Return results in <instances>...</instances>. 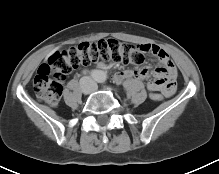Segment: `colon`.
I'll use <instances>...</instances> for the list:
<instances>
[{"instance_id": "colon-1", "label": "colon", "mask_w": 219, "mask_h": 174, "mask_svg": "<svg viewBox=\"0 0 219 174\" xmlns=\"http://www.w3.org/2000/svg\"><path fill=\"white\" fill-rule=\"evenodd\" d=\"M144 53L134 45L115 39L80 43L78 46L55 52L40 66L34 78V90L41 101L56 106L61 98L62 82L76 68L99 61L139 66L145 62ZM150 98L155 102L164 99L159 92H151Z\"/></svg>"}]
</instances>
